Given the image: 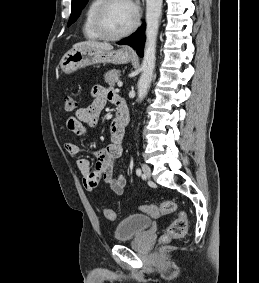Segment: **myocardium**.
Segmentation results:
<instances>
[{"instance_id":"f54148a6","label":"myocardium","mask_w":259,"mask_h":283,"mask_svg":"<svg viewBox=\"0 0 259 283\" xmlns=\"http://www.w3.org/2000/svg\"><path fill=\"white\" fill-rule=\"evenodd\" d=\"M114 0H101L99 5L97 6L94 14V28L98 35L106 40H119L122 39L128 35H130L138 26L139 24V13L135 6H133L134 9V19L132 24L123 32L118 34H111L108 33L103 25V14L107 6L113 2Z\"/></svg>"}]
</instances>
